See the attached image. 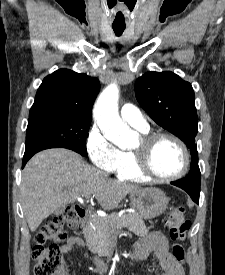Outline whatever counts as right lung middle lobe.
I'll return each mask as SVG.
<instances>
[{
  "label": "right lung middle lobe",
  "instance_id": "1",
  "mask_svg": "<svg viewBox=\"0 0 225 275\" xmlns=\"http://www.w3.org/2000/svg\"><path fill=\"white\" fill-rule=\"evenodd\" d=\"M90 123L89 117L79 116L44 115L29 118L24 155L63 147L87 157L85 139Z\"/></svg>",
  "mask_w": 225,
  "mask_h": 275
}]
</instances>
